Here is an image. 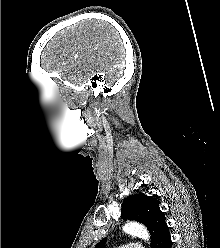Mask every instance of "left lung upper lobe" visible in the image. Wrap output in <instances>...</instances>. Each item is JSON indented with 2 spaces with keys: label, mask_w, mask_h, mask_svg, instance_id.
I'll return each instance as SVG.
<instances>
[{
  "label": "left lung upper lobe",
  "mask_w": 220,
  "mask_h": 248,
  "mask_svg": "<svg viewBox=\"0 0 220 248\" xmlns=\"http://www.w3.org/2000/svg\"><path fill=\"white\" fill-rule=\"evenodd\" d=\"M121 217L126 220H136L144 224L151 234V248L159 238L162 230L167 226L164 213L160 210L155 196L143 193L132 195L124 199ZM107 239L100 241L95 248H103Z\"/></svg>",
  "instance_id": "left-lung-upper-lobe-1"
}]
</instances>
